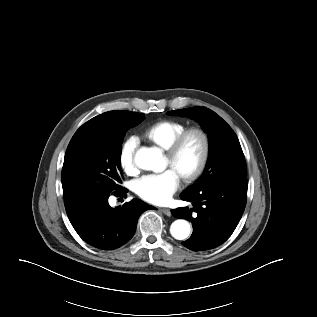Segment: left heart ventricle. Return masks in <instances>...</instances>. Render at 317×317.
Returning <instances> with one entry per match:
<instances>
[{
	"instance_id": "obj_1",
	"label": "left heart ventricle",
	"mask_w": 317,
	"mask_h": 317,
	"mask_svg": "<svg viewBox=\"0 0 317 317\" xmlns=\"http://www.w3.org/2000/svg\"><path fill=\"white\" fill-rule=\"evenodd\" d=\"M201 153V142L197 136H191L184 145L177 160L173 163L166 157L167 166L172 167L180 176L194 168Z\"/></svg>"
}]
</instances>
